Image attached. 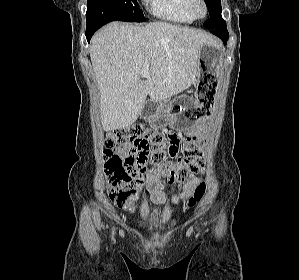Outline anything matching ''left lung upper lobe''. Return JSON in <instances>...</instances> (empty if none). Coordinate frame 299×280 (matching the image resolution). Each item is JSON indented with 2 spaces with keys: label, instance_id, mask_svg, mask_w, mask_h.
<instances>
[{
  "label": "left lung upper lobe",
  "instance_id": "5c2ea615",
  "mask_svg": "<svg viewBox=\"0 0 299 280\" xmlns=\"http://www.w3.org/2000/svg\"><path fill=\"white\" fill-rule=\"evenodd\" d=\"M211 18L208 19L204 26L208 29L214 30L217 27L224 25L226 22L221 17V3L220 0H205Z\"/></svg>",
  "mask_w": 299,
  "mask_h": 280
}]
</instances>
